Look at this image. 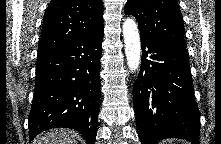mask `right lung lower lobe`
<instances>
[{
	"label": "right lung lower lobe",
	"instance_id": "98d812e1",
	"mask_svg": "<svg viewBox=\"0 0 221 144\" xmlns=\"http://www.w3.org/2000/svg\"><path fill=\"white\" fill-rule=\"evenodd\" d=\"M103 28L56 51L37 57L29 138L65 127L88 144L97 135Z\"/></svg>",
	"mask_w": 221,
	"mask_h": 144
}]
</instances>
